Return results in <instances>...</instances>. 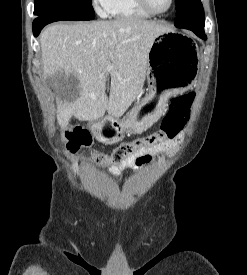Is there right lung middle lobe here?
Segmentation results:
<instances>
[{"label": "right lung middle lobe", "instance_id": "1", "mask_svg": "<svg viewBox=\"0 0 247 275\" xmlns=\"http://www.w3.org/2000/svg\"><path fill=\"white\" fill-rule=\"evenodd\" d=\"M34 15L60 20H91L95 13L91 0H35Z\"/></svg>", "mask_w": 247, "mask_h": 275}]
</instances>
